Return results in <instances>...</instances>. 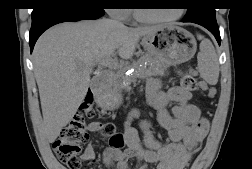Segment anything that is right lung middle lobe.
Returning a JSON list of instances; mask_svg holds the SVG:
<instances>
[{
  "label": "right lung middle lobe",
  "mask_w": 252,
  "mask_h": 169,
  "mask_svg": "<svg viewBox=\"0 0 252 169\" xmlns=\"http://www.w3.org/2000/svg\"><path fill=\"white\" fill-rule=\"evenodd\" d=\"M79 2L81 3H84V4H88V5H91V6H96V7H102L103 3L102 1L104 0H78ZM46 3V0H38V2L36 3V6H41L43 4Z\"/></svg>",
  "instance_id": "obj_1"
}]
</instances>
